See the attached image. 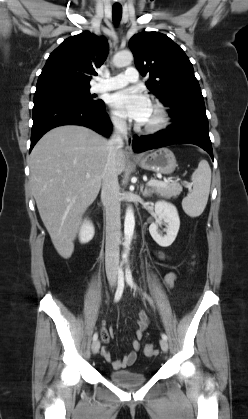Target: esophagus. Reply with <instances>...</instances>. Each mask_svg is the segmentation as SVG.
I'll list each match as a JSON object with an SVG mask.
<instances>
[{
  "instance_id": "1",
  "label": "esophagus",
  "mask_w": 248,
  "mask_h": 419,
  "mask_svg": "<svg viewBox=\"0 0 248 419\" xmlns=\"http://www.w3.org/2000/svg\"><path fill=\"white\" fill-rule=\"evenodd\" d=\"M132 142H133V138H132V136H131V135H128V136H127V139H126L125 153H126V155H127V156H130V157H135V156H137V154H135V153L133 152V149H132Z\"/></svg>"
}]
</instances>
